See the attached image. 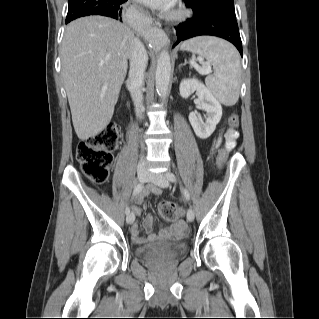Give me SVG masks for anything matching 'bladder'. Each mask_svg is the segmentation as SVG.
Masks as SVG:
<instances>
[{"instance_id": "bladder-1", "label": "bladder", "mask_w": 319, "mask_h": 319, "mask_svg": "<svg viewBox=\"0 0 319 319\" xmlns=\"http://www.w3.org/2000/svg\"><path fill=\"white\" fill-rule=\"evenodd\" d=\"M157 250H164L173 255H184L188 252V245L186 241L182 240H169L162 243L145 244L137 249V254L140 257H144Z\"/></svg>"}]
</instances>
